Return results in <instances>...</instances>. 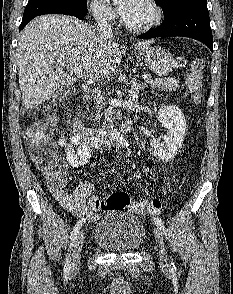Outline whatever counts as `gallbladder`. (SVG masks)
<instances>
[{
	"label": "gallbladder",
	"mask_w": 233,
	"mask_h": 294,
	"mask_svg": "<svg viewBox=\"0 0 233 294\" xmlns=\"http://www.w3.org/2000/svg\"><path fill=\"white\" fill-rule=\"evenodd\" d=\"M67 95V91L65 88H59L57 91H56V94L54 96V99L53 100H59L61 101L63 98H65Z\"/></svg>",
	"instance_id": "gallbladder-1"
}]
</instances>
